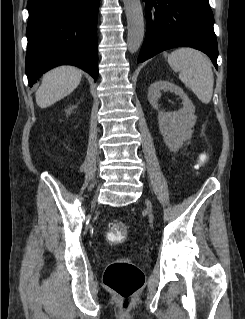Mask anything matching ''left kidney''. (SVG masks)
I'll use <instances>...</instances> for the list:
<instances>
[{"label": "left kidney", "instance_id": "left-kidney-1", "mask_svg": "<svg viewBox=\"0 0 245 319\" xmlns=\"http://www.w3.org/2000/svg\"><path fill=\"white\" fill-rule=\"evenodd\" d=\"M161 91L174 92L182 99L183 108L176 112L159 111L158 123L165 144L171 151H177L184 142L191 139L197 117L195 107L183 89L170 81H156L148 89V100L151 106L158 109Z\"/></svg>", "mask_w": 245, "mask_h": 319}]
</instances>
